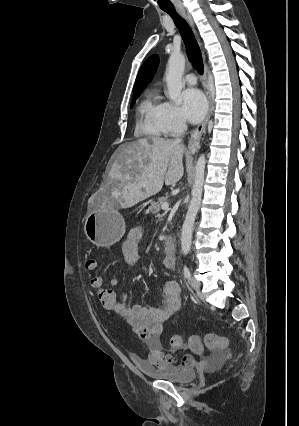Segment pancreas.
I'll use <instances>...</instances> for the list:
<instances>
[{"label":"pancreas","mask_w":299,"mask_h":426,"mask_svg":"<svg viewBox=\"0 0 299 426\" xmlns=\"http://www.w3.org/2000/svg\"><path fill=\"white\" fill-rule=\"evenodd\" d=\"M167 198L162 197L157 202H151L150 207L148 208V212L156 214L160 210V206L162 203L166 202Z\"/></svg>","instance_id":"cf45deb5"}]
</instances>
